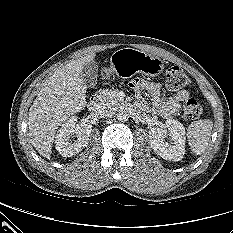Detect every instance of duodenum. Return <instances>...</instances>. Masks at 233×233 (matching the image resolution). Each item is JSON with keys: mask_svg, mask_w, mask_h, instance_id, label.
I'll use <instances>...</instances> for the list:
<instances>
[{"mask_svg": "<svg viewBox=\"0 0 233 233\" xmlns=\"http://www.w3.org/2000/svg\"><path fill=\"white\" fill-rule=\"evenodd\" d=\"M98 103H99V96L94 95L89 100V107L93 109L98 105Z\"/></svg>", "mask_w": 233, "mask_h": 233, "instance_id": "1", "label": "duodenum"}]
</instances>
